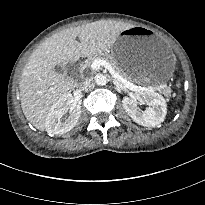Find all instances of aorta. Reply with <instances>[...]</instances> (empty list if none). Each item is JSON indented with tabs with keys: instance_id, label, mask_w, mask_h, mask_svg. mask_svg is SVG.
<instances>
[{
	"instance_id": "obj_1",
	"label": "aorta",
	"mask_w": 205,
	"mask_h": 205,
	"mask_svg": "<svg viewBox=\"0 0 205 205\" xmlns=\"http://www.w3.org/2000/svg\"><path fill=\"white\" fill-rule=\"evenodd\" d=\"M95 83L99 86L106 85L108 79L104 74H96L94 77Z\"/></svg>"
}]
</instances>
